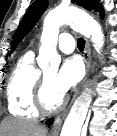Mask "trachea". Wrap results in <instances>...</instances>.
<instances>
[{
  "label": "trachea",
  "mask_w": 117,
  "mask_h": 136,
  "mask_svg": "<svg viewBox=\"0 0 117 136\" xmlns=\"http://www.w3.org/2000/svg\"><path fill=\"white\" fill-rule=\"evenodd\" d=\"M77 46L80 51H83L85 47V40L83 38H79L77 42Z\"/></svg>",
  "instance_id": "obj_1"
}]
</instances>
